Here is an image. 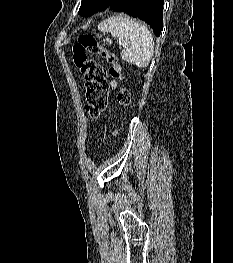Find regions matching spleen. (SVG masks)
Here are the masks:
<instances>
[{
    "instance_id": "obj_1",
    "label": "spleen",
    "mask_w": 233,
    "mask_h": 263,
    "mask_svg": "<svg viewBox=\"0 0 233 263\" xmlns=\"http://www.w3.org/2000/svg\"><path fill=\"white\" fill-rule=\"evenodd\" d=\"M98 30L110 33L117 40L122 41L124 50L121 57L129 64L139 68H146L154 53L152 34L141 22L124 14H118L103 20Z\"/></svg>"
}]
</instances>
